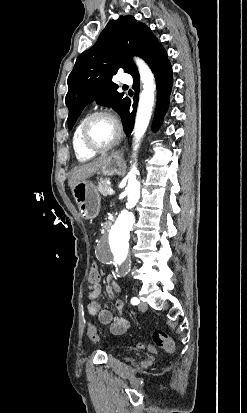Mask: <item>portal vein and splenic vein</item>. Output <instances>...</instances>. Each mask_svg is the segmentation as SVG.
Masks as SVG:
<instances>
[{"label": "portal vein and splenic vein", "mask_w": 247, "mask_h": 413, "mask_svg": "<svg viewBox=\"0 0 247 413\" xmlns=\"http://www.w3.org/2000/svg\"><path fill=\"white\" fill-rule=\"evenodd\" d=\"M108 194H114V190L113 188H109V190H107Z\"/></svg>", "instance_id": "obj_1"}]
</instances>
